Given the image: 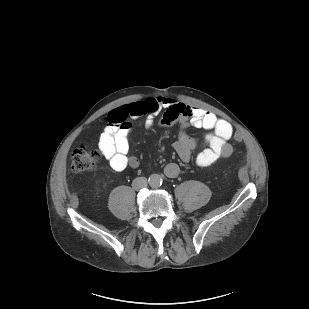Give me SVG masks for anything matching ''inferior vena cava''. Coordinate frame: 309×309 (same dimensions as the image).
Masks as SVG:
<instances>
[{
  "label": "inferior vena cava",
  "mask_w": 309,
  "mask_h": 309,
  "mask_svg": "<svg viewBox=\"0 0 309 309\" xmlns=\"http://www.w3.org/2000/svg\"><path fill=\"white\" fill-rule=\"evenodd\" d=\"M147 184H148V182H147V179L145 177H137L133 180L132 187L135 190H139V189L146 187Z\"/></svg>",
  "instance_id": "obj_1"
}]
</instances>
